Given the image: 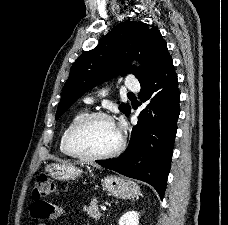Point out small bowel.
Listing matches in <instances>:
<instances>
[{
	"label": "small bowel",
	"mask_w": 228,
	"mask_h": 225,
	"mask_svg": "<svg viewBox=\"0 0 228 225\" xmlns=\"http://www.w3.org/2000/svg\"><path fill=\"white\" fill-rule=\"evenodd\" d=\"M48 199H36V204H30L31 218H37V223H48V218H59L64 214V209L53 204H48ZM54 212V213H53Z\"/></svg>",
	"instance_id": "obj_1"
}]
</instances>
